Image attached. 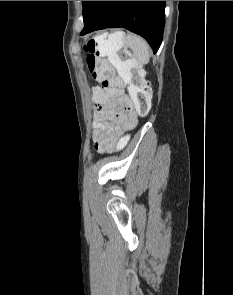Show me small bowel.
Returning a JSON list of instances; mask_svg holds the SVG:
<instances>
[{
	"mask_svg": "<svg viewBox=\"0 0 233 295\" xmlns=\"http://www.w3.org/2000/svg\"><path fill=\"white\" fill-rule=\"evenodd\" d=\"M93 141L97 151L112 149L117 139L135 127L137 116L133 100L122 91L119 95L93 96Z\"/></svg>",
	"mask_w": 233,
	"mask_h": 295,
	"instance_id": "1",
	"label": "small bowel"
}]
</instances>
